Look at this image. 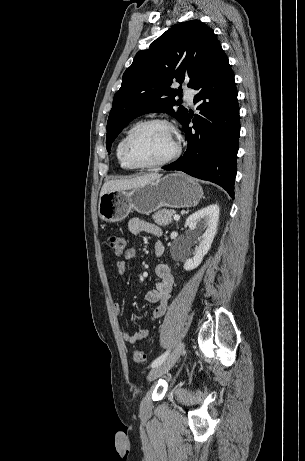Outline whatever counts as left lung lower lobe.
I'll list each match as a JSON object with an SVG mask.
<instances>
[{
  "label": "left lung lower lobe",
  "instance_id": "0a47b994",
  "mask_svg": "<svg viewBox=\"0 0 305 461\" xmlns=\"http://www.w3.org/2000/svg\"><path fill=\"white\" fill-rule=\"evenodd\" d=\"M193 89L199 91L194 103H199L200 115L187 114L181 123L187 150L163 169L214 182L234 198L240 116L234 74L223 50Z\"/></svg>",
  "mask_w": 305,
  "mask_h": 461
}]
</instances>
